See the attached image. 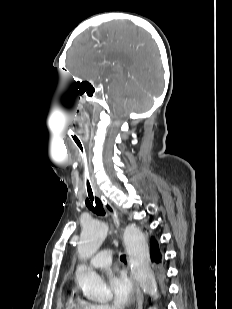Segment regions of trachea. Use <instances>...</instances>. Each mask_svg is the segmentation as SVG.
<instances>
[{
	"label": "trachea",
	"mask_w": 232,
	"mask_h": 309,
	"mask_svg": "<svg viewBox=\"0 0 232 309\" xmlns=\"http://www.w3.org/2000/svg\"><path fill=\"white\" fill-rule=\"evenodd\" d=\"M71 139L78 149L81 159H82V164H83V177H84V188L86 191V206L88 207L89 210H91L93 213L97 215H105V210L103 208V204L101 200L96 196L94 188H93V183L90 175V170H89V165H88V157H87V151L86 147L81 139V137L76 134V133H71L70 134ZM121 261H126V256L121 255L120 256Z\"/></svg>",
	"instance_id": "3493384b"
}]
</instances>
